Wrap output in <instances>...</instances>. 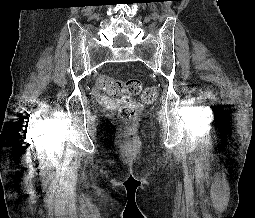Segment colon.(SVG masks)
Returning <instances> with one entry per match:
<instances>
[{"label":"colon","instance_id":"5ec220e1","mask_svg":"<svg viewBox=\"0 0 255 218\" xmlns=\"http://www.w3.org/2000/svg\"><path fill=\"white\" fill-rule=\"evenodd\" d=\"M99 86L111 96L116 97L120 103L119 116L124 126L129 124L138 116L141 105L134 96L142 92V100L145 103L154 102L157 98V90L154 86L145 89L139 79H128L125 81L109 77H102Z\"/></svg>","mask_w":255,"mask_h":218}]
</instances>
